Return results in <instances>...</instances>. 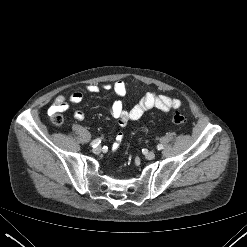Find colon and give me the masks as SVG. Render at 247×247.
Segmentation results:
<instances>
[{"mask_svg":"<svg viewBox=\"0 0 247 247\" xmlns=\"http://www.w3.org/2000/svg\"><path fill=\"white\" fill-rule=\"evenodd\" d=\"M52 122L55 124V125H61L63 123V116L61 113L59 112H56L54 114H52ZM171 121L174 125L176 126H182L185 124L186 122V118L183 114L179 113V112H176L172 118H171ZM123 140V138L120 136L119 137V142L121 143Z\"/></svg>","mask_w":247,"mask_h":247,"instance_id":"5ec220e1","label":"colon"}]
</instances>
